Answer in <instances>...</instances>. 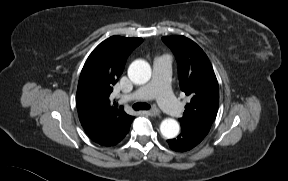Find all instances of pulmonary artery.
I'll list each match as a JSON object with an SVG mask.
<instances>
[{
    "label": "pulmonary artery",
    "instance_id": "e3ab8cb5",
    "mask_svg": "<svg viewBox=\"0 0 288 181\" xmlns=\"http://www.w3.org/2000/svg\"><path fill=\"white\" fill-rule=\"evenodd\" d=\"M171 61L167 56H160L154 61V76L151 83L138 89L130 98L133 100H150L157 98L160 106L172 117L183 112L182 105L177 101L170 89Z\"/></svg>",
    "mask_w": 288,
    "mask_h": 181
}]
</instances>
